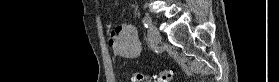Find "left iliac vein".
<instances>
[{"label":"left iliac vein","mask_w":279,"mask_h":82,"mask_svg":"<svg viewBox=\"0 0 279 82\" xmlns=\"http://www.w3.org/2000/svg\"><path fill=\"white\" fill-rule=\"evenodd\" d=\"M149 32L153 42L159 43L161 41V34L155 25H150Z\"/></svg>","instance_id":"left-iliac-vein-1"}]
</instances>
